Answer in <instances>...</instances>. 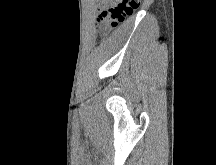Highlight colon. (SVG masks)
Here are the masks:
<instances>
[{
  "mask_svg": "<svg viewBox=\"0 0 216 165\" xmlns=\"http://www.w3.org/2000/svg\"><path fill=\"white\" fill-rule=\"evenodd\" d=\"M108 6L97 17V26L104 30L116 28L140 6V0H107Z\"/></svg>",
  "mask_w": 216,
  "mask_h": 165,
  "instance_id": "1",
  "label": "colon"
}]
</instances>
